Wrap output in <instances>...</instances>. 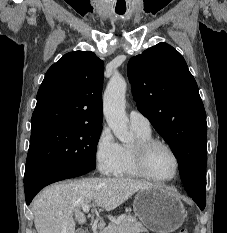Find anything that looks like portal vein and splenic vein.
<instances>
[{
  "label": "portal vein and splenic vein",
  "instance_id": "18ae733b",
  "mask_svg": "<svg viewBox=\"0 0 227 233\" xmlns=\"http://www.w3.org/2000/svg\"><path fill=\"white\" fill-rule=\"evenodd\" d=\"M82 210H83V212L88 213L89 210H90V205H84V206L82 207ZM104 231H107V233L109 232V231H108V228H105Z\"/></svg>",
  "mask_w": 227,
  "mask_h": 233
}]
</instances>
